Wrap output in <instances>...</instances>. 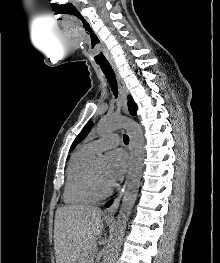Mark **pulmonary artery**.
<instances>
[{
	"mask_svg": "<svg viewBox=\"0 0 220 263\" xmlns=\"http://www.w3.org/2000/svg\"><path fill=\"white\" fill-rule=\"evenodd\" d=\"M121 139L117 134L107 135L97 140H93L86 144V146L94 153L100 152L104 149L116 146Z\"/></svg>",
	"mask_w": 220,
	"mask_h": 263,
	"instance_id": "pulmonary-artery-1",
	"label": "pulmonary artery"
}]
</instances>
